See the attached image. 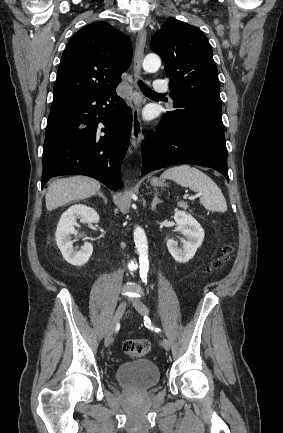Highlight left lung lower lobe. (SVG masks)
I'll list each match as a JSON object with an SVG mask.
<instances>
[{
  "label": "left lung lower lobe",
  "instance_id": "obj_1",
  "mask_svg": "<svg viewBox=\"0 0 283 433\" xmlns=\"http://www.w3.org/2000/svg\"><path fill=\"white\" fill-rule=\"evenodd\" d=\"M142 174L175 164L211 167L229 181L224 131L206 121L174 120L164 114L142 144Z\"/></svg>",
  "mask_w": 283,
  "mask_h": 433
}]
</instances>
